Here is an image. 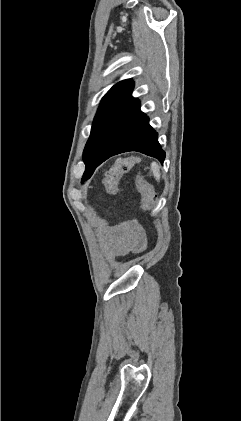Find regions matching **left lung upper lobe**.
<instances>
[{"instance_id": "obj_1", "label": "left lung upper lobe", "mask_w": 241, "mask_h": 421, "mask_svg": "<svg viewBox=\"0 0 241 421\" xmlns=\"http://www.w3.org/2000/svg\"><path fill=\"white\" fill-rule=\"evenodd\" d=\"M133 87L131 79L120 81L102 98L83 152L86 167L102 153L116 122L132 98Z\"/></svg>"}]
</instances>
